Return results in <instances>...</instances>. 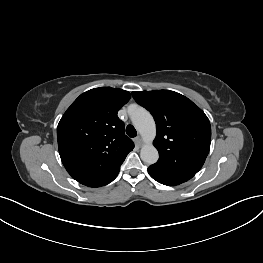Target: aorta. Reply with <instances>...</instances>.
Wrapping results in <instances>:
<instances>
[{"label":"aorta","instance_id":"obj_1","mask_svg":"<svg viewBox=\"0 0 263 263\" xmlns=\"http://www.w3.org/2000/svg\"><path fill=\"white\" fill-rule=\"evenodd\" d=\"M131 120L145 141L140 151L142 161L149 165L156 163L159 153L152 144L156 135V126L152 115L144 108H136L131 114Z\"/></svg>","mask_w":263,"mask_h":263}]
</instances>
